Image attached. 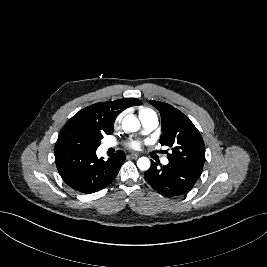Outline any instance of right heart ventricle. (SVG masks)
<instances>
[{"mask_svg": "<svg viewBox=\"0 0 267 267\" xmlns=\"http://www.w3.org/2000/svg\"><path fill=\"white\" fill-rule=\"evenodd\" d=\"M152 113H154V112L149 108H141L139 111L140 117L148 115V114H152Z\"/></svg>", "mask_w": 267, "mask_h": 267, "instance_id": "e07e8e85", "label": "right heart ventricle"}]
</instances>
